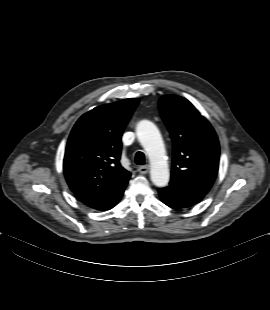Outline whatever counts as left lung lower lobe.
Masks as SVG:
<instances>
[{
  "mask_svg": "<svg viewBox=\"0 0 270 310\" xmlns=\"http://www.w3.org/2000/svg\"><path fill=\"white\" fill-rule=\"evenodd\" d=\"M210 189L189 186L171 180L169 186L159 189L161 200L169 207L182 209L199 203Z\"/></svg>",
  "mask_w": 270,
  "mask_h": 310,
  "instance_id": "1",
  "label": "left lung lower lobe"
}]
</instances>
